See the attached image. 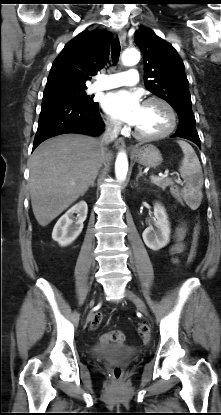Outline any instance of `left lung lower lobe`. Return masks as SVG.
Segmentation results:
<instances>
[{
	"mask_svg": "<svg viewBox=\"0 0 221 415\" xmlns=\"http://www.w3.org/2000/svg\"><path fill=\"white\" fill-rule=\"evenodd\" d=\"M171 137L185 138L194 142L199 148L201 147L200 139L195 128V121L193 120L180 121L176 133Z\"/></svg>",
	"mask_w": 221,
	"mask_h": 415,
	"instance_id": "obj_1",
	"label": "left lung lower lobe"
}]
</instances>
